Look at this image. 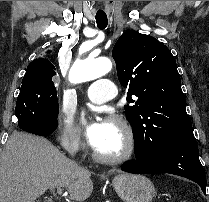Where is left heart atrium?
<instances>
[{"instance_id":"left-heart-atrium-1","label":"left heart atrium","mask_w":209,"mask_h":202,"mask_svg":"<svg viewBox=\"0 0 209 202\" xmlns=\"http://www.w3.org/2000/svg\"><path fill=\"white\" fill-rule=\"evenodd\" d=\"M105 124L106 122L101 119L91 118L87 114L84 115V135L88 144L93 148L96 147L102 140Z\"/></svg>"}]
</instances>
